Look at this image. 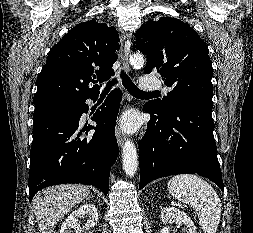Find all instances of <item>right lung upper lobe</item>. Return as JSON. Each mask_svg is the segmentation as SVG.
Segmentation results:
<instances>
[{"mask_svg": "<svg viewBox=\"0 0 253 233\" xmlns=\"http://www.w3.org/2000/svg\"><path fill=\"white\" fill-rule=\"evenodd\" d=\"M119 35L98 20L79 23L52 47L37 78L35 105L54 99H80L99 93L96 84L114 75ZM93 83V87L89 85Z\"/></svg>", "mask_w": 253, "mask_h": 233, "instance_id": "cb5924a9", "label": "right lung upper lobe"}]
</instances>
